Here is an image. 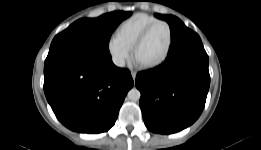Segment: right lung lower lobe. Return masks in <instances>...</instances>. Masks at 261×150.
Returning <instances> with one entry per match:
<instances>
[{
  "instance_id": "obj_1",
  "label": "right lung lower lobe",
  "mask_w": 261,
  "mask_h": 150,
  "mask_svg": "<svg viewBox=\"0 0 261 150\" xmlns=\"http://www.w3.org/2000/svg\"><path fill=\"white\" fill-rule=\"evenodd\" d=\"M132 86L130 71L116 67L110 54L65 50L45 60L47 101L58 120L76 132L108 131Z\"/></svg>"
}]
</instances>
